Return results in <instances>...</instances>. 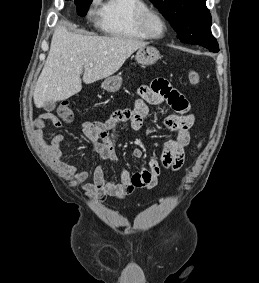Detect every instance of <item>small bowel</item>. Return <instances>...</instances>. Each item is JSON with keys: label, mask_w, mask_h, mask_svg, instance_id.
<instances>
[{"label": "small bowel", "mask_w": 259, "mask_h": 283, "mask_svg": "<svg viewBox=\"0 0 259 283\" xmlns=\"http://www.w3.org/2000/svg\"><path fill=\"white\" fill-rule=\"evenodd\" d=\"M162 103L168 104L175 111V114L164 119V125L175 137L165 142L160 159L149 161L146 167L133 173L123 171L119 182L107 180L102 169L97 168L93 174V182L82 186L88 196L98 201L105 200L107 196L124 199L138 189L155 188L162 168L175 172L183 166L184 150L190 142L189 130L194 123V115L189 102L164 79L155 80L150 86L140 87L132 108L116 110L104 121H84L81 123V131L91 143V151L98 154L102 161L115 163L118 160L115 145L120 137V127L128 124L132 129L139 130L149 113L148 105ZM47 121L56 127L61 125L51 112L38 115L33 123L34 135L41 143H44L43 130ZM63 141L64 135L57 133L46 144V148L58 166L75 182L87 181L90 177L88 171L80 170L64 161L60 148ZM132 154L135 158H141L143 151L135 148Z\"/></svg>", "instance_id": "small-bowel-1"}]
</instances>
